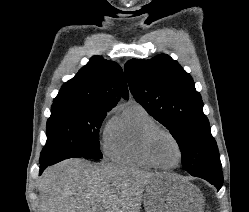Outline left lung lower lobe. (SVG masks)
<instances>
[{"label": "left lung lower lobe", "mask_w": 249, "mask_h": 212, "mask_svg": "<svg viewBox=\"0 0 249 212\" xmlns=\"http://www.w3.org/2000/svg\"><path fill=\"white\" fill-rule=\"evenodd\" d=\"M192 176L200 177L207 180L219 190L223 185V172L221 168H212L192 174Z\"/></svg>", "instance_id": "left-lung-lower-lobe-1"}]
</instances>
